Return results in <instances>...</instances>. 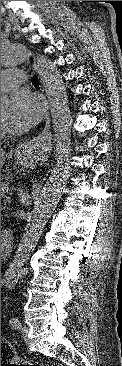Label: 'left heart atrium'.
<instances>
[{
  "mask_svg": "<svg viewBox=\"0 0 122 366\" xmlns=\"http://www.w3.org/2000/svg\"><path fill=\"white\" fill-rule=\"evenodd\" d=\"M43 109V103L34 94L27 91L14 93L5 115L6 129L22 132L33 128L42 118Z\"/></svg>",
  "mask_w": 122,
  "mask_h": 366,
  "instance_id": "1",
  "label": "left heart atrium"
}]
</instances>
